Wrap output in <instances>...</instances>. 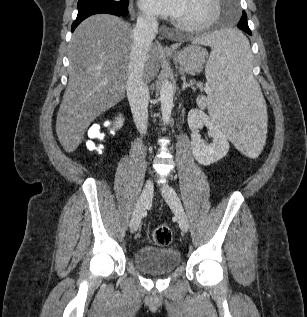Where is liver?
Here are the masks:
<instances>
[{
  "label": "liver",
  "mask_w": 307,
  "mask_h": 317,
  "mask_svg": "<svg viewBox=\"0 0 307 317\" xmlns=\"http://www.w3.org/2000/svg\"><path fill=\"white\" fill-rule=\"evenodd\" d=\"M132 45V26L113 15L89 17L74 31L68 84L56 120V133L66 152H73L91 122L124 97ZM144 68L146 82L157 75V45L150 46Z\"/></svg>",
  "instance_id": "liver-1"
}]
</instances>
